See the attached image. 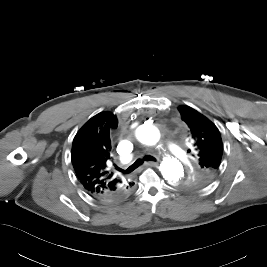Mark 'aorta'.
<instances>
[{
    "label": "aorta",
    "instance_id": "aorta-1",
    "mask_svg": "<svg viewBox=\"0 0 267 267\" xmlns=\"http://www.w3.org/2000/svg\"><path fill=\"white\" fill-rule=\"evenodd\" d=\"M137 139L145 145H155L160 139V132L157 127L151 124H143L136 130ZM159 170L163 178L171 185L180 184L184 175L181 162L174 157H166L160 164Z\"/></svg>",
    "mask_w": 267,
    "mask_h": 267
}]
</instances>
